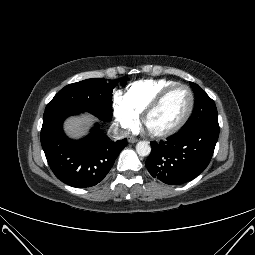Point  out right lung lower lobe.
I'll list each match as a JSON object with an SVG mask.
<instances>
[{
	"label": "right lung lower lobe",
	"mask_w": 255,
	"mask_h": 255,
	"mask_svg": "<svg viewBox=\"0 0 255 255\" xmlns=\"http://www.w3.org/2000/svg\"><path fill=\"white\" fill-rule=\"evenodd\" d=\"M81 112L73 109L45 112L41 144L48 164L59 180L73 187L86 188L105 178L127 145V139L114 142L97 124L85 138L78 141L69 139L63 132V121Z\"/></svg>",
	"instance_id": "obj_1"
}]
</instances>
